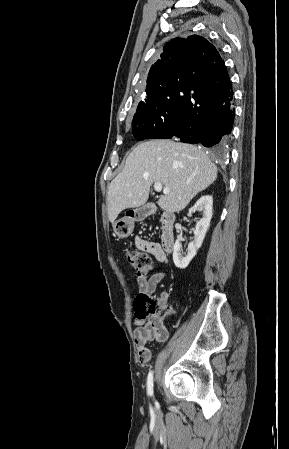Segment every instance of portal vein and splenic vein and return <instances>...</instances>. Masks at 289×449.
<instances>
[{"instance_id":"1","label":"portal vein and splenic vein","mask_w":289,"mask_h":449,"mask_svg":"<svg viewBox=\"0 0 289 449\" xmlns=\"http://www.w3.org/2000/svg\"><path fill=\"white\" fill-rule=\"evenodd\" d=\"M154 189L157 192L163 191L164 194H168L170 192L169 188H163V186H162V184L160 182H155L154 183Z\"/></svg>"}]
</instances>
